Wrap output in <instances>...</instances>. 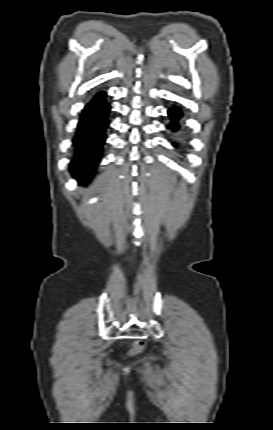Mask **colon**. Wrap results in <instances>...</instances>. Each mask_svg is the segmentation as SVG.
<instances>
[{"mask_svg":"<svg viewBox=\"0 0 273 430\" xmlns=\"http://www.w3.org/2000/svg\"><path fill=\"white\" fill-rule=\"evenodd\" d=\"M142 348H143V343H142L141 341H137V342H135V343H134V346H133V350H132V352H133V353H137V352H139Z\"/></svg>","mask_w":273,"mask_h":430,"instance_id":"colon-1","label":"colon"}]
</instances>
